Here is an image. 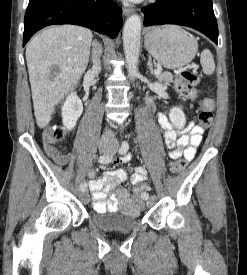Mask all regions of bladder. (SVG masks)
<instances>
[{
    "instance_id": "1",
    "label": "bladder",
    "mask_w": 247,
    "mask_h": 275,
    "mask_svg": "<svg viewBox=\"0 0 247 275\" xmlns=\"http://www.w3.org/2000/svg\"><path fill=\"white\" fill-rule=\"evenodd\" d=\"M91 221L98 228L109 232H130L139 225V217L120 212L99 211Z\"/></svg>"
}]
</instances>
